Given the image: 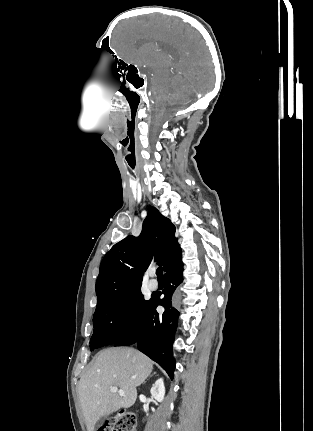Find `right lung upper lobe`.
Listing matches in <instances>:
<instances>
[{"label":"right lung upper lobe","instance_id":"cb5924a9","mask_svg":"<svg viewBox=\"0 0 313 431\" xmlns=\"http://www.w3.org/2000/svg\"><path fill=\"white\" fill-rule=\"evenodd\" d=\"M181 252L175 226L155 207L148 211L138 237L127 236L105 255L96 281L97 303L140 288L142 275L151 261L164 271Z\"/></svg>","mask_w":313,"mask_h":431}]
</instances>
